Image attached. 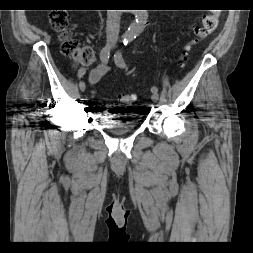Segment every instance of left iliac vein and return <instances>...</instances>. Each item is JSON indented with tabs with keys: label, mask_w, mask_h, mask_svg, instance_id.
Wrapping results in <instances>:
<instances>
[{
	"label": "left iliac vein",
	"mask_w": 253,
	"mask_h": 253,
	"mask_svg": "<svg viewBox=\"0 0 253 253\" xmlns=\"http://www.w3.org/2000/svg\"><path fill=\"white\" fill-rule=\"evenodd\" d=\"M151 99H152L153 102L156 103L159 99L158 93L157 92H152Z\"/></svg>",
	"instance_id": "obj_1"
}]
</instances>
